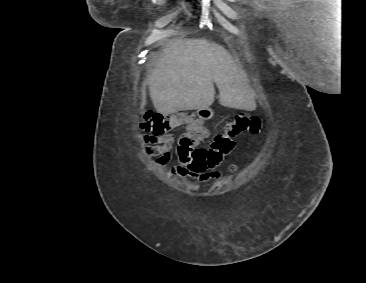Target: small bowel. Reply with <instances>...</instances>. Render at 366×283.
Masks as SVG:
<instances>
[{"label": "small bowel", "mask_w": 366, "mask_h": 283, "mask_svg": "<svg viewBox=\"0 0 366 283\" xmlns=\"http://www.w3.org/2000/svg\"><path fill=\"white\" fill-rule=\"evenodd\" d=\"M141 141L144 145L143 153L147 157H157L156 163L160 166L166 165L170 159L171 154L170 151L174 144V136L172 134H164V135H142ZM219 152V150H217ZM228 154L221 153L219 156L221 157V161L211 169H207L202 172H194L186 167L181 165L176 166L172 169V172L175 176L192 180L196 183H206L212 180H217L221 177V173L217 170V168L222 165L226 159ZM237 170L236 165L232 164L228 173L233 174Z\"/></svg>", "instance_id": "small-bowel-1"}]
</instances>
